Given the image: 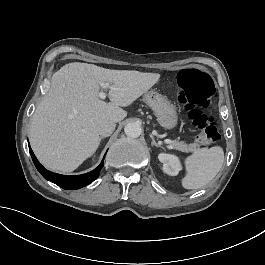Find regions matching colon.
<instances>
[{"instance_id":"5ec220e1","label":"colon","mask_w":265,"mask_h":265,"mask_svg":"<svg viewBox=\"0 0 265 265\" xmlns=\"http://www.w3.org/2000/svg\"><path fill=\"white\" fill-rule=\"evenodd\" d=\"M175 84L186 97L187 118L200 132L202 144L214 145L220 141V133L214 117L207 113L217 98V91L211 79L203 77L200 71L187 67L179 71Z\"/></svg>"}]
</instances>
